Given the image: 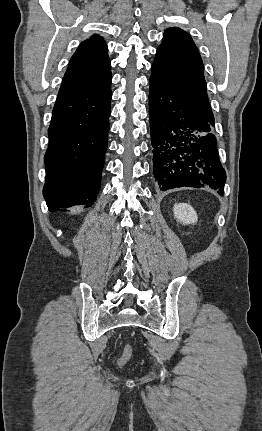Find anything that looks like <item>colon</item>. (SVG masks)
Returning a JSON list of instances; mask_svg holds the SVG:
<instances>
[{"label":"colon","instance_id":"5ec220e1","mask_svg":"<svg viewBox=\"0 0 262 431\" xmlns=\"http://www.w3.org/2000/svg\"><path fill=\"white\" fill-rule=\"evenodd\" d=\"M132 355H133V346L131 343H128L124 347L123 353L120 356V358L118 359V362H117L118 366L124 367L129 362Z\"/></svg>","mask_w":262,"mask_h":431}]
</instances>
